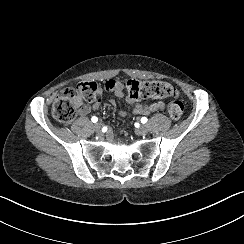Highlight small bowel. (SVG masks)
Wrapping results in <instances>:
<instances>
[{"label": "small bowel", "instance_id": "small-bowel-1", "mask_svg": "<svg viewBox=\"0 0 244 244\" xmlns=\"http://www.w3.org/2000/svg\"><path fill=\"white\" fill-rule=\"evenodd\" d=\"M107 90L113 93L114 97L125 98L126 102L132 107V110L135 114L139 115H149L151 113L160 111L164 109V103L161 101L153 103H145L141 101H133L128 98L125 93V86L122 81L119 80H108L105 84ZM110 99V104L116 107L115 98ZM100 107V102H95L91 105L89 104H80L78 108V114L80 116L88 115L92 110H96ZM120 116H125L126 111L123 109L118 110Z\"/></svg>", "mask_w": 244, "mask_h": 244}]
</instances>
